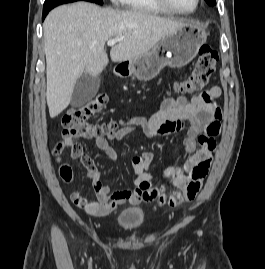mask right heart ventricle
<instances>
[{"label": "right heart ventricle", "mask_w": 265, "mask_h": 269, "mask_svg": "<svg viewBox=\"0 0 265 269\" xmlns=\"http://www.w3.org/2000/svg\"><path fill=\"white\" fill-rule=\"evenodd\" d=\"M122 6L130 10L151 12V13H168L155 0H121Z\"/></svg>", "instance_id": "1"}]
</instances>
